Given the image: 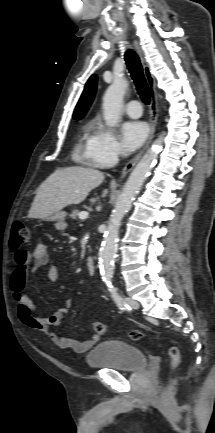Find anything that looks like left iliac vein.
<instances>
[{"mask_svg": "<svg viewBox=\"0 0 215 433\" xmlns=\"http://www.w3.org/2000/svg\"><path fill=\"white\" fill-rule=\"evenodd\" d=\"M125 302L134 310H137L139 308V303L133 298L126 297Z\"/></svg>", "mask_w": 215, "mask_h": 433, "instance_id": "obj_1", "label": "left iliac vein"}]
</instances>
